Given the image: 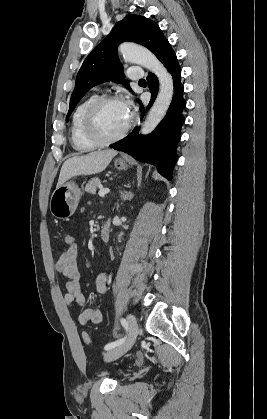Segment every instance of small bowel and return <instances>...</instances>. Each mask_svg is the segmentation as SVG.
I'll list each match as a JSON object with an SVG mask.
<instances>
[{"instance_id":"1","label":"small bowel","mask_w":267,"mask_h":419,"mask_svg":"<svg viewBox=\"0 0 267 419\" xmlns=\"http://www.w3.org/2000/svg\"><path fill=\"white\" fill-rule=\"evenodd\" d=\"M78 246L66 248L55 264V271L66 277V292L64 294V302L70 308L82 309L79 314L78 321L81 325L89 323H100L103 318L102 311L97 308L87 307L86 298L82 293L80 286V274L77 266ZM107 274L100 273L96 277L95 285L97 292L104 294L107 291Z\"/></svg>"}]
</instances>
